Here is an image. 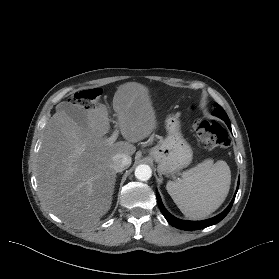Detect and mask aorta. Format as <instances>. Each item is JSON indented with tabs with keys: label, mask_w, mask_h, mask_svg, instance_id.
Listing matches in <instances>:
<instances>
[{
	"label": "aorta",
	"mask_w": 279,
	"mask_h": 279,
	"mask_svg": "<svg viewBox=\"0 0 279 279\" xmlns=\"http://www.w3.org/2000/svg\"><path fill=\"white\" fill-rule=\"evenodd\" d=\"M152 176V170L149 165L140 164L135 169V177L140 181H147Z\"/></svg>",
	"instance_id": "obj_1"
}]
</instances>
